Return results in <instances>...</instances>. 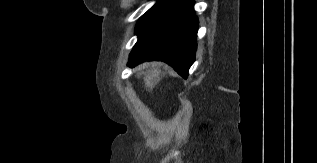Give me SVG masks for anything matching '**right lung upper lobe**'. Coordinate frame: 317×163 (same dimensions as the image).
I'll use <instances>...</instances> for the list:
<instances>
[{"label": "right lung upper lobe", "mask_w": 317, "mask_h": 163, "mask_svg": "<svg viewBox=\"0 0 317 163\" xmlns=\"http://www.w3.org/2000/svg\"><path fill=\"white\" fill-rule=\"evenodd\" d=\"M161 1H172V2H178V1H180V0H161Z\"/></svg>", "instance_id": "right-lung-upper-lobe-1"}]
</instances>
